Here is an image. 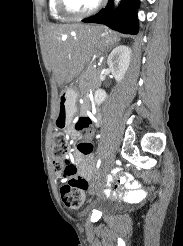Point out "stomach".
Instances as JSON below:
<instances>
[{
  "label": "stomach",
  "instance_id": "0dacf381",
  "mask_svg": "<svg viewBox=\"0 0 183 246\" xmlns=\"http://www.w3.org/2000/svg\"><path fill=\"white\" fill-rule=\"evenodd\" d=\"M118 38L103 28H98L95 36V48L99 50L109 42L117 41ZM77 92L74 89L66 88L59 98L58 113L55 119L57 128H66L70 125L76 112Z\"/></svg>",
  "mask_w": 183,
  "mask_h": 246
}]
</instances>
